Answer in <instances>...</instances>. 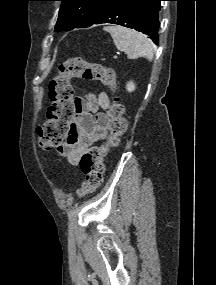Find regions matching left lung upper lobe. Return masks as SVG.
Wrapping results in <instances>:
<instances>
[{
	"instance_id": "left-lung-upper-lobe-1",
	"label": "left lung upper lobe",
	"mask_w": 216,
	"mask_h": 285,
	"mask_svg": "<svg viewBox=\"0 0 216 285\" xmlns=\"http://www.w3.org/2000/svg\"><path fill=\"white\" fill-rule=\"evenodd\" d=\"M61 1L55 31L89 27L112 0Z\"/></svg>"
}]
</instances>
